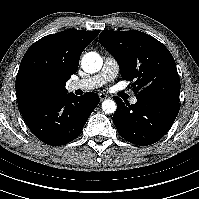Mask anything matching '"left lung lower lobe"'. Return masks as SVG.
Segmentation results:
<instances>
[{
  "instance_id": "0a47b994",
  "label": "left lung lower lobe",
  "mask_w": 199,
  "mask_h": 199,
  "mask_svg": "<svg viewBox=\"0 0 199 199\" xmlns=\"http://www.w3.org/2000/svg\"><path fill=\"white\" fill-rule=\"evenodd\" d=\"M117 110L113 123L118 133L130 143L148 146L161 139L172 126L180 105L168 101L137 97L130 105L113 97Z\"/></svg>"
}]
</instances>
